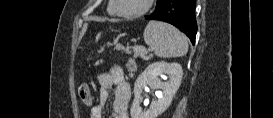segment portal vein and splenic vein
<instances>
[{
  "label": "portal vein and splenic vein",
  "instance_id": "obj_1",
  "mask_svg": "<svg viewBox=\"0 0 273 118\" xmlns=\"http://www.w3.org/2000/svg\"><path fill=\"white\" fill-rule=\"evenodd\" d=\"M143 51H144L145 53H147V51H146L145 49H143Z\"/></svg>",
  "mask_w": 273,
  "mask_h": 118
}]
</instances>
